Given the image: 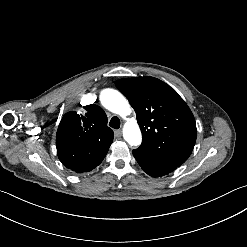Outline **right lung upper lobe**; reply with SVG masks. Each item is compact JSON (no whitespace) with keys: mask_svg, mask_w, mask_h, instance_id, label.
Masks as SVG:
<instances>
[{"mask_svg":"<svg viewBox=\"0 0 247 247\" xmlns=\"http://www.w3.org/2000/svg\"><path fill=\"white\" fill-rule=\"evenodd\" d=\"M85 114L66 113L57 130L56 147L60 161L75 172L90 171L106 156L113 142L107 116L98 105L84 107Z\"/></svg>","mask_w":247,"mask_h":247,"instance_id":"cb5924a9","label":"right lung upper lobe"}]
</instances>
